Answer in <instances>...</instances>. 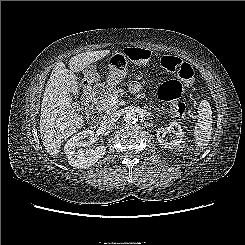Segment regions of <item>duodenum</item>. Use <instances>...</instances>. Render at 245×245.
<instances>
[{
    "instance_id": "obj_1",
    "label": "duodenum",
    "mask_w": 245,
    "mask_h": 245,
    "mask_svg": "<svg viewBox=\"0 0 245 245\" xmlns=\"http://www.w3.org/2000/svg\"><path fill=\"white\" fill-rule=\"evenodd\" d=\"M105 87L98 85L90 91L83 93V102L87 105L89 110V121L92 125L97 124L99 121V111L95 106L96 101L104 94Z\"/></svg>"
}]
</instances>
